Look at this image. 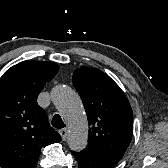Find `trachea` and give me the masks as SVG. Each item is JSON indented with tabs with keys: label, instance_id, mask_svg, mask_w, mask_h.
<instances>
[{
	"label": "trachea",
	"instance_id": "trachea-1",
	"mask_svg": "<svg viewBox=\"0 0 168 168\" xmlns=\"http://www.w3.org/2000/svg\"><path fill=\"white\" fill-rule=\"evenodd\" d=\"M52 126H54L55 128H63L66 125L64 124V122L62 121L60 115L55 114L54 117L52 118Z\"/></svg>",
	"mask_w": 168,
	"mask_h": 168
}]
</instances>
